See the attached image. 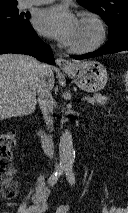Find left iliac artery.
Listing matches in <instances>:
<instances>
[{
    "label": "left iliac artery",
    "mask_w": 128,
    "mask_h": 213,
    "mask_svg": "<svg viewBox=\"0 0 128 213\" xmlns=\"http://www.w3.org/2000/svg\"><path fill=\"white\" fill-rule=\"evenodd\" d=\"M65 173H66L68 182L71 184H75V175L73 172V166L71 164L66 165Z\"/></svg>",
    "instance_id": "left-iliac-artery-1"
}]
</instances>
